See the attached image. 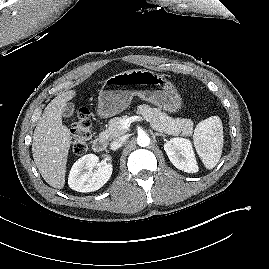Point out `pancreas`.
<instances>
[{
	"label": "pancreas",
	"instance_id": "pancreas-1",
	"mask_svg": "<svg viewBox=\"0 0 269 269\" xmlns=\"http://www.w3.org/2000/svg\"><path fill=\"white\" fill-rule=\"evenodd\" d=\"M137 114L142 115L152 128L166 134L178 135L182 133L184 136H190L193 132V122L191 119H173L159 108H152L149 105H141L136 111ZM127 116L115 117L108 123V128L101 133V137L106 140H112L124 135L127 129L122 128V121Z\"/></svg>",
	"mask_w": 269,
	"mask_h": 269
}]
</instances>
